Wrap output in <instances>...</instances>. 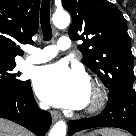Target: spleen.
<instances>
[{
  "label": "spleen",
  "mask_w": 136,
  "mask_h": 136,
  "mask_svg": "<svg viewBox=\"0 0 136 136\" xmlns=\"http://www.w3.org/2000/svg\"><path fill=\"white\" fill-rule=\"evenodd\" d=\"M98 133L102 136H125L122 132L113 129H101L98 130Z\"/></svg>",
  "instance_id": "3e777b00"
}]
</instances>
